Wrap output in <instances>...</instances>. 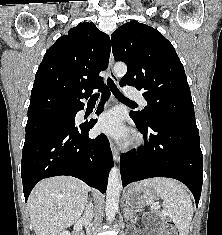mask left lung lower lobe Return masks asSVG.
<instances>
[{"label": "left lung lower lobe", "mask_w": 222, "mask_h": 235, "mask_svg": "<svg viewBox=\"0 0 222 235\" xmlns=\"http://www.w3.org/2000/svg\"><path fill=\"white\" fill-rule=\"evenodd\" d=\"M144 137L137 153L121 155L123 187L131 182L168 177L181 181L192 192L198 206L203 183V155L196 125L171 119L140 122L132 113Z\"/></svg>", "instance_id": "1"}]
</instances>
